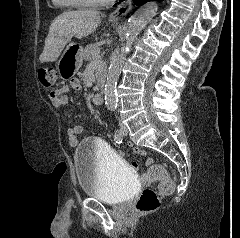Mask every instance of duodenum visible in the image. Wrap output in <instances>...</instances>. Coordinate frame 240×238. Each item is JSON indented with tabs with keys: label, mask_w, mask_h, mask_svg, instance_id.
I'll use <instances>...</instances> for the list:
<instances>
[{
	"label": "duodenum",
	"mask_w": 240,
	"mask_h": 238,
	"mask_svg": "<svg viewBox=\"0 0 240 238\" xmlns=\"http://www.w3.org/2000/svg\"><path fill=\"white\" fill-rule=\"evenodd\" d=\"M103 100H104V94L102 89H100L94 95L93 101L96 105H101L103 103Z\"/></svg>",
	"instance_id": "duodenum-1"
}]
</instances>
